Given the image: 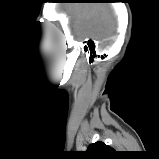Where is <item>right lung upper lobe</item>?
<instances>
[{
    "label": "right lung upper lobe",
    "mask_w": 159,
    "mask_h": 159,
    "mask_svg": "<svg viewBox=\"0 0 159 159\" xmlns=\"http://www.w3.org/2000/svg\"><path fill=\"white\" fill-rule=\"evenodd\" d=\"M114 150L105 145L103 142H96L89 145L87 149V153L91 157H95V159H104L107 153L113 152Z\"/></svg>",
    "instance_id": "obj_1"
}]
</instances>
